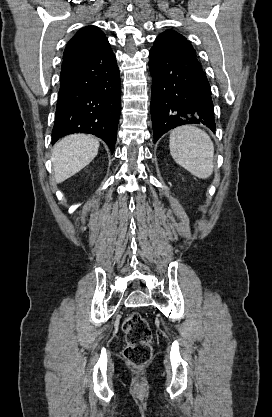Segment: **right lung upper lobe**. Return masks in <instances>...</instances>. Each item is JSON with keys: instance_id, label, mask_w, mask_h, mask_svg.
Instances as JSON below:
<instances>
[{"instance_id": "right-lung-upper-lobe-1", "label": "right lung upper lobe", "mask_w": 272, "mask_h": 417, "mask_svg": "<svg viewBox=\"0 0 272 417\" xmlns=\"http://www.w3.org/2000/svg\"><path fill=\"white\" fill-rule=\"evenodd\" d=\"M108 40L96 26L80 29L68 42L63 60L85 58L96 52Z\"/></svg>"}]
</instances>
